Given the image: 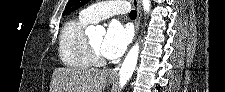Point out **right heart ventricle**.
<instances>
[{"label": "right heart ventricle", "mask_w": 225, "mask_h": 92, "mask_svg": "<svg viewBox=\"0 0 225 92\" xmlns=\"http://www.w3.org/2000/svg\"><path fill=\"white\" fill-rule=\"evenodd\" d=\"M81 15L69 20L60 33L58 54L61 61L73 68L87 69L92 65L86 27L91 24Z\"/></svg>", "instance_id": "1"}]
</instances>
